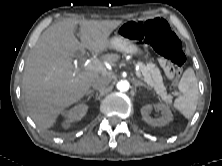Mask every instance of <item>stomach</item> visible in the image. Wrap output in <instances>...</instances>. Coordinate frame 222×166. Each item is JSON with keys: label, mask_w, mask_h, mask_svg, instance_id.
Here are the masks:
<instances>
[{"label": "stomach", "mask_w": 222, "mask_h": 166, "mask_svg": "<svg viewBox=\"0 0 222 166\" xmlns=\"http://www.w3.org/2000/svg\"><path fill=\"white\" fill-rule=\"evenodd\" d=\"M109 47L130 55H139L142 53L141 49L134 43V41H126L120 34H117L109 40Z\"/></svg>", "instance_id": "stomach-1"}]
</instances>
